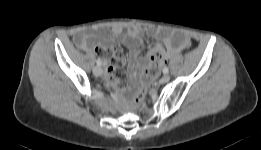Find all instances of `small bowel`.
Segmentation results:
<instances>
[{
    "label": "small bowel",
    "mask_w": 261,
    "mask_h": 150,
    "mask_svg": "<svg viewBox=\"0 0 261 150\" xmlns=\"http://www.w3.org/2000/svg\"><path fill=\"white\" fill-rule=\"evenodd\" d=\"M151 36L163 43L154 44L153 50L160 53V64L176 56L190 46V39L183 33L168 28L132 26L123 34V28L114 26L109 32L97 29H82L74 34L77 46L87 52H99L104 60L109 62L108 81L117 86L123 79L121 71V51L113 47L115 42H120L128 48V69L130 77L135 80L140 69L151 66L140 57V49L144 45V36ZM157 73V72H156Z\"/></svg>",
    "instance_id": "small-bowel-1"
}]
</instances>
